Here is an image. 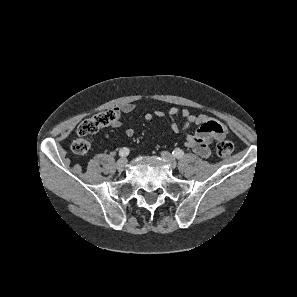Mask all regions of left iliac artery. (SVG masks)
<instances>
[{"label": "left iliac artery", "mask_w": 297, "mask_h": 297, "mask_svg": "<svg viewBox=\"0 0 297 297\" xmlns=\"http://www.w3.org/2000/svg\"><path fill=\"white\" fill-rule=\"evenodd\" d=\"M173 156L176 157V158H182L184 156V151L177 148L175 149L173 152H172Z\"/></svg>", "instance_id": "44dca946"}]
</instances>
